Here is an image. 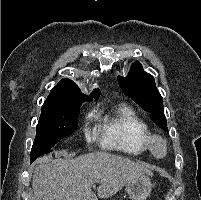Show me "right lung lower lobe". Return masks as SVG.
Returning <instances> with one entry per match:
<instances>
[{"label": "right lung lower lobe", "instance_id": "1", "mask_svg": "<svg viewBox=\"0 0 201 200\" xmlns=\"http://www.w3.org/2000/svg\"><path fill=\"white\" fill-rule=\"evenodd\" d=\"M45 151L51 152V148L50 149H46ZM35 159L31 157V163L34 161Z\"/></svg>", "mask_w": 201, "mask_h": 200}]
</instances>
